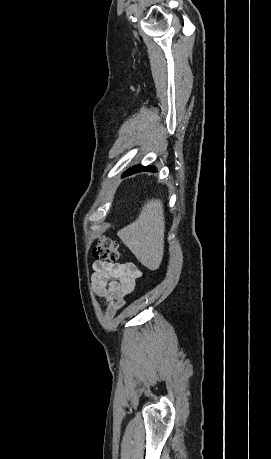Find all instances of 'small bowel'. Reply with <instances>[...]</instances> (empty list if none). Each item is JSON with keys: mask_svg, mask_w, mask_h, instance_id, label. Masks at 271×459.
Masks as SVG:
<instances>
[{"mask_svg": "<svg viewBox=\"0 0 271 459\" xmlns=\"http://www.w3.org/2000/svg\"><path fill=\"white\" fill-rule=\"evenodd\" d=\"M93 268L92 289L107 300L105 316L111 318L124 306L125 297L135 290L142 273L131 263L96 261Z\"/></svg>", "mask_w": 271, "mask_h": 459, "instance_id": "small-bowel-1", "label": "small bowel"}]
</instances>
